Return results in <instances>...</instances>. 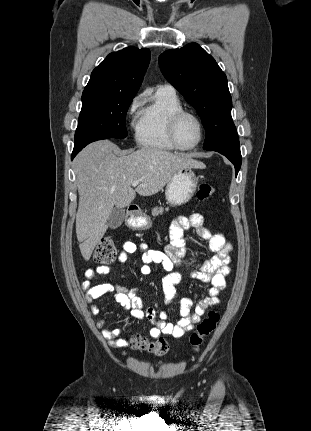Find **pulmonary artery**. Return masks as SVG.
<instances>
[{"label":"pulmonary artery","mask_w":311,"mask_h":431,"mask_svg":"<svg viewBox=\"0 0 311 431\" xmlns=\"http://www.w3.org/2000/svg\"><path fill=\"white\" fill-rule=\"evenodd\" d=\"M158 88L165 90V91H168V92H174L175 91V89L169 84L159 85Z\"/></svg>","instance_id":"obj_1"}]
</instances>
